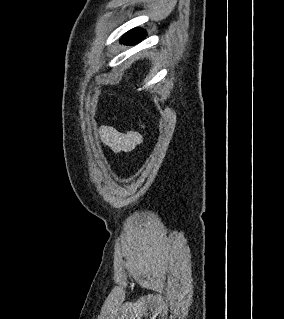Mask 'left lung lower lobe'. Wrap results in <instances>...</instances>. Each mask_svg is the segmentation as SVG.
Masks as SVG:
<instances>
[{
	"mask_svg": "<svg viewBox=\"0 0 284 319\" xmlns=\"http://www.w3.org/2000/svg\"><path fill=\"white\" fill-rule=\"evenodd\" d=\"M145 31L141 29H133L127 32L121 39L124 44H135L145 37Z\"/></svg>",
	"mask_w": 284,
	"mask_h": 319,
	"instance_id": "obj_1",
	"label": "left lung lower lobe"
}]
</instances>
